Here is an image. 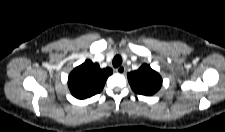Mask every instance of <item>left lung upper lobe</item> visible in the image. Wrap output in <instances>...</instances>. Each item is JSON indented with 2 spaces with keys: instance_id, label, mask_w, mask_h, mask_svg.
Instances as JSON below:
<instances>
[{
  "instance_id": "5c2ea615",
  "label": "left lung upper lobe",
  "mask_w": 225,
  "mask_h": 132,
  "mask_svg": "<svg viewBox=\"0 0 225 132\" xmlns=\"http://www.w3.org/2000/svg\"><path fill=\"white\" fill-rule=\"evenodd\" d=\"M127 76L131 88L137 94L153 95L162 85L161 76L147 64H143L138 70L128 73Z\"/></svg>"
}]
</instances>
